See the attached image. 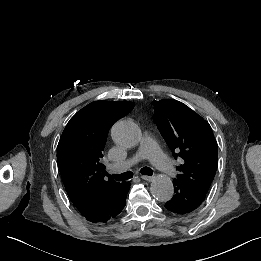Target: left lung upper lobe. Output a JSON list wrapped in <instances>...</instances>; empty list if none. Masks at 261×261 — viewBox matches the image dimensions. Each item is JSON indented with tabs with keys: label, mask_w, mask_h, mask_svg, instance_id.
Masks as SVG:
<instances>
[{
	"label": "left lung upper lobe",
	"mask_w": 261,
	"mask_h": 261,
	"mask_svg": "<svg viewBox=\"0 0 261 261\" xmlns=\"http://www.w3.org/2000/svg\"><path fill=\"white\" fill-rule=\"evenodd\" d=\"M154 120L182 164L174 181L207 193L218 166L217 142L207 121L185 104L171 99L153 101Z\"/></svg>",
	"instance_id": "5c2ea615"
}]
</instances>
